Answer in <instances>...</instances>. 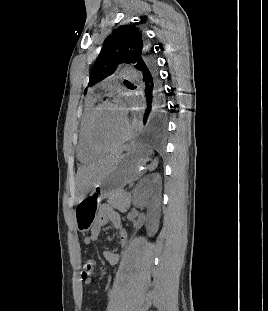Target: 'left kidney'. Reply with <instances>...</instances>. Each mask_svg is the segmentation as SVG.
I'll use <instances>...</instances> for the list:
<instances>
[{
  "label": "left kidney",
  "instance_id": "obj_1",
  "mask_svg": "<svg viewBox=\"0 0 268 311\" xmlns=\"http://www.w3.org/2000/svg\"><path fill=\"white\" fill-rule=\"evenodd\" d=\"M161 188V176L154 173L141 179L133 190V205L138 208L146 207L148 209L145 226L150 237L155 235L159 227Z\"/></svg>",
  "mask_w": 268,
  "mask_h": 311
}]
</instances>
